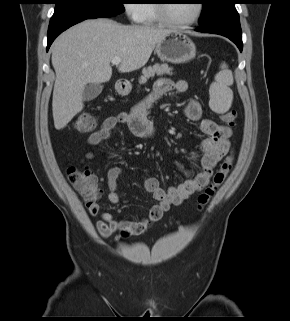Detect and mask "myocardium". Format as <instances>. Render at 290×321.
<instances>
[{
	"label": "myocardium",
	"instance_id": "myocardium-1",
	"mask_svg": "<svg viewBox=\"0 0 290 321\" xmlns=\"http://www.w3.org/2000/svg\"><path fill=\"white\" fill-rule=\"evenodd\" d=\"M155 10H156V14L160 20V22H162L164 25L169 26V27H178V28H183V27H188L191 26L193 24H195L198 19L200 18L202 11H203V4L201 3V1L197 0L196 1V12L195 15L193 16V18H191L188 21H184V22H177L172 20L168 14H167V2L169 0H155Z\"/></svg>",
	"mask_w": 290,
	"mask_h": 321
}]
</instances>
